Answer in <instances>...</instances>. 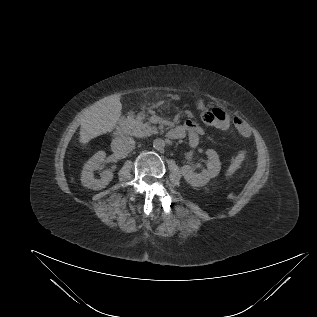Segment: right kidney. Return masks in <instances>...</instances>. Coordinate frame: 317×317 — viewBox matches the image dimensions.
I'll use <instances>...</instances> for the list:
<instances>
[{
    "instance_id": "obj_1",
    "label": "right kidney",
    "mask_w": 317,
    "mask_h": 317,
    "mask_svg": "<svg viewBox=\"0 0 317 317\" xmlns=\"http://www.w3.org/2000/svg\"><path fill=\"white\" fill-rule=\"evenodd\" d=\"M106 157L104 151H98L93 155L84 165L81 175V182L83 186L93 189L101 190L105 188L113 179V173L110 170H105L101 173L100 179H95L93 171L101 168V165Z\"/></svg>"
}]
</instances>
